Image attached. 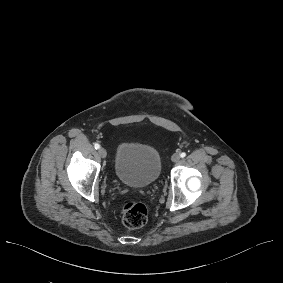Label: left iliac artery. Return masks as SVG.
Masks as SVG:
<instances>
[{
	"label": "left iliac artery",
	"mask_w": 283,
	"mask_h": 283,
	"mask_svg": "<svg viewBox=\"0 0 283 283\" xmlns=\"http://www.w3.org/2000/svg\"><path fill=\"white\" fill-rule=\"evenodd\" d=\"M186 156V153L185 152H182L181 154H180V157L181 158H184Z\"/></svg>",
	"instance_id": "obj_1"
}]
</instances>
